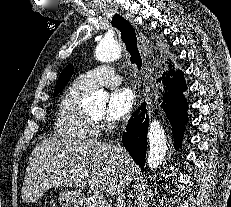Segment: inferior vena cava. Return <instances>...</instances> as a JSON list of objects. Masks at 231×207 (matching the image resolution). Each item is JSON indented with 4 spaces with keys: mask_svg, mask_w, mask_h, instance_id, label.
<instances>
[{
    "mask_svg": "<svg viewBox=\"0 0 231 207\" xmlns=\"http://www.w3.org/2000/svg\"><path fill=\"white\" fill-rule=\"evenodd\" d=\"M111 144L110 145L113 147L115 152L118 154L120 166L124 167L127 163L126 154H125L124 150L121 147L113 145V141H111ZM124 187L125 186H121L119 188L118 192L116 193V196H117L116 197V206L117 207H126V203H125L126 195L124 193Z\"/></svg>",
    "mask_w": 231,
    "mask_h": 207,
    "instance_id": "602c4592",
    "label": "inferior vena cava"
}]
</instances>
